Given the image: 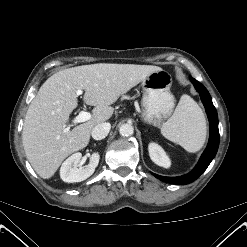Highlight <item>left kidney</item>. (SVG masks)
<instances>
[{
    "mask_svg": "<svg viewBox=\"0 0 247 247\" xmlns=\"http://www.w3.org/2000/svg\"><path fill=\"white\" fill-rule=\"evenodd\" d=\"M149 156L151 160L158 166L169 168L171 161L164 149L157 143H150L148 146Z\"/></svg>",
    "mask_w": 247,
    "mask_h": 247,
    "instance_id": "obj_1",
    "label": "left kidney"
}]
</instances>
